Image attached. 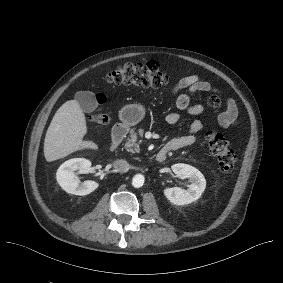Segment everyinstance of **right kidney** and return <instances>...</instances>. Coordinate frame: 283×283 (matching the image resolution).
I'll list each match as a JSON object with an SVG mask.
<instances>
[{
	"label": "right kidney",
	"instance_id": "obj_1",
	"mask_svg": "<svg viewBox=\"0 0 283 283\" xmlns=\"http://www.w3.org/2000/svg\"><path fill=\"white\" fill-rule=\"evenodd\" d=\"M91 162L85 158H74L64 162L56 173L58 184L67 193L74 195H87L93 192L99 184L92 180L80 183L74 175L75 171L86 172L90 169Z\"/></svg>",
	"mask_w": 283,
	"mask_h": 283
}]
</instances>
